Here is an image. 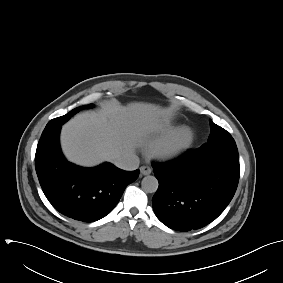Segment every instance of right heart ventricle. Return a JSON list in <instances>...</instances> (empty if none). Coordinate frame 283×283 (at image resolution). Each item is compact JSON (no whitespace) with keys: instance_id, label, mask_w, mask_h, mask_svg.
I'll use <instances>...</instances> for the list:
<instances>
[{"instance_id":"e07e8e85","label":"right heart ventricle","mask_w":283,"mask_h":283,"mask_svg":"<svg viewBox=\"0 0 283 283\" xmlns=\"http://www.w3.org/2000/svg\"><path fill=\"white\" fill-rule=\"evenodd\" d=\"M174 130V128L173 127H169V128H167V131L168 132H172Z\"/></svg>"}]
</instances>
